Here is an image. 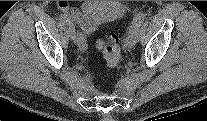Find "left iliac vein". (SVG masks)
<instances>
[{"label": "left iliac vein", "instance_id": "left-iliac-vein-1", "mask_svg": "<svg viewBox=\"0 0 207 121\" xmlns=\"http://www.w3.org/2000/svg\"><path fill=\"white\" fill-rule=\"evenodd\" d=\"M139 39V31H134L132 34H129L125 41V46L127 48H132L136 45L137 41Z\"/></svg>", "mask_w": 207, "mask_h": 121}]
</instances>
